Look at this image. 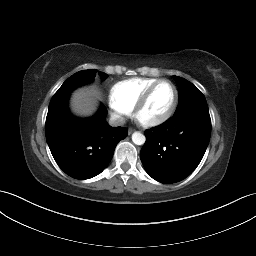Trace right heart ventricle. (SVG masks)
Masks as SVG:
<instances>
[{
  "mask_svg": "<svg viewBox=\"0 0 256 256\" xmlns=\"http://www.w3.org/2000/svg\"><path fill=\"white\" fill-rule=\"evenodd\" d=\"M156 81L155 78H132L116 83L110 90L111 104L133 110L145 90Z\"/></svg>",
  "mask_w": 256,
  "mask_h": 256,
  "instance_id": "e07e8e85",
  "label": "right heart ventricle"
}]
</instances>
